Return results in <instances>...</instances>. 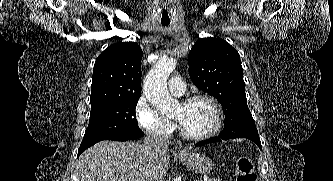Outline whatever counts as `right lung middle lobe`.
Wrapping results in <instances>:
<instances>
[{
	"mask_svg": "<svg viewBox=\"0 0 333 181\" xmlns=\"http://www.w3.org/2000/svg\"><path fill=\"white\" fill-rule=\"evenodd\" d=\"M137 102L138 99L122 100L91 108L89 125L81 146L102 140L142 137L144 133L135 117Z\"/></svg>",
	"mask_w": 333,
	"mask_h": 181,
	"instance_id": "1",
	"label": "right lung middle lobe"
}]
</instances>
